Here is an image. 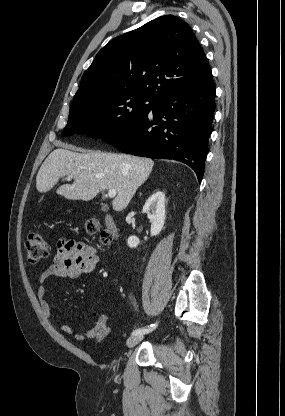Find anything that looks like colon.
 <instances>
[{"instance_id":"1","label":"colon","mask_w":285,"mask_h":416,"mask_svg":"<svg viewBox=\"0 0 285 416\" xmlns=\"http://www.w3.org/2000/svg\"><path fill=\"white\" fill-rule=\"evenodd\" d=\"M86 230L91 234H98L103 244L113 243V235L107 230L100 231L99 224L96 220H88L85 224ZM27 259L31 263H38L47 259L50 255V249L47 242L38 232H30L25 240Z\"/></svg>"}]
</instances>
